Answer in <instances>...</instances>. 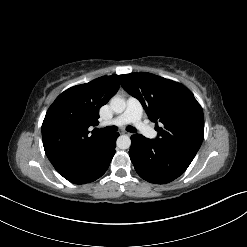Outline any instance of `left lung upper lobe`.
<instances>
[{"instance_id":"obj_1","label":"left lung upper lobe","mask_w":247,"mask_h":247,"mask_svg":"<svg viewBox=\"0 0 247 247\" xmlns=\"http://www.w3.org/2000/svg\"><path fill=\"white\" fill-rule=\"evenodd\" d=\"M120 79L124 90L136 97L149 119L156 122L158 137L154 141L193 159L204 137L203 111L193 94L184 85L151 73L124 74Z\"/></svg>"}]
</instances>
